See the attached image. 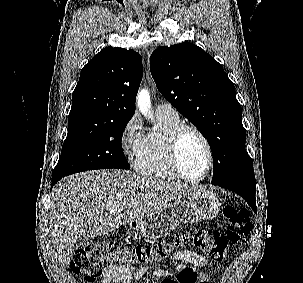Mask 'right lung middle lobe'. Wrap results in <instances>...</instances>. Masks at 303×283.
Listing matches in <instances>:
<instances>
[{
    "instance_id": "obj_1",
    "label": "right lung middle lobe",
    "mask_w": 303,
    "mask_h": 283,
    "mask_svg": "<svg viewBox=\"0 0 303 283\" xmlns=\"http://www.w3.org/2000/svg\"><path fill=\"white\" fill-rule=\"evenodd\" d=\"M127 121L68 120V133L52 175L67 176L94 169H129L121 139Z\"/></svg>"
}]
</instances>
